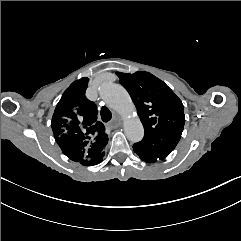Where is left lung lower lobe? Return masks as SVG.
Here are the masks:
<instances>
[{
    "label": "left lung lower lobe",
    "mask_w": 241,
    "mask_h": 241,
    "mask_svg": "<svg viewBox=\"0 0 241 241\" xmlns=\"http://www.w3.org/2000/svg\"><path fill=\"white\" fill-rule=\"evenodd\" d=\"M182 131L160 132L154 139H142L133 145L134 152L146 162L165 159L180 140Z\"/></svg>",
    "instance_id": "0a47b994"
}]
</instances>
